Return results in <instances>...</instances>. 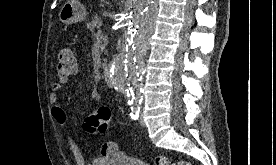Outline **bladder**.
I'll use <instances>...</instances> for the list:
<instances>
[{
  "mask_svg": "<svg viewBox=\"0 0 276 165\" xmlns=\"http://www.w3.org/2000/svg\"><path fill=\"white\" fill-rule=\"evenodd\" d=\"M109 165H149L145 161L124 154L115 155Z\"/></svg>",
  "mask_w": 276,
  "mask_h": 165,
  "instance_id": "31cf9c89",
  "label": "bladder"
}]
</instances>
